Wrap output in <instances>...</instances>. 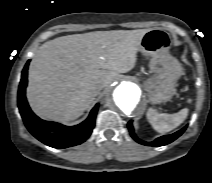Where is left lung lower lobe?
I'll list each match as a JSON object with an SVG mask.
<instances>
[{
	"mask_svg": "<svg viewBox=\"0 0 212 183\" xmlns=\"http://www.w3.org/2000/svg\"><path fill=\"white\" fill-rule=\"evenodd\" d=\"M128 128L130 130L132 138L135 141H137L138 143L143 144V145H147V146H163V145H167V144L173 142L175 139H177L185 131V129L187 127L182 128L181 130L177 131L174 134L159 137L156 140H154L153 142H145V141L138 139L134 134L132 121H129Z\"/></svg>",
	"mask_w": 212,
	"mask_h": 183,
	"instance_id": "0a47b994",
	"label": "left lung lower lobe"
}]
</instances>
